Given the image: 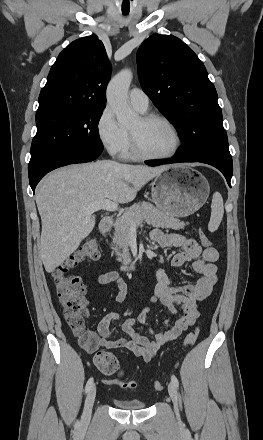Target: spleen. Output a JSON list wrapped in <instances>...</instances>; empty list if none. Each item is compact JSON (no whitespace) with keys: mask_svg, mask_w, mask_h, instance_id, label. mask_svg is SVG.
I'll list each match as a JSON object with an SVG mask.
<instances>
[{"mask_svg":"<svg viewBox=\"0 0 263 440\" xmlns=\"http://www.w3.org/2000/svg\"><path fill=\"white\" fill-rule=\"evenodd\" d=\"M224 215V204L222 195L215 192L211 204V217L208 223V230L214 232L218 229Z\"/></svg>","mask_w":263,"mask_h":440,"instance_id":"spleen-1","label":"spleen"}]
</instances>
